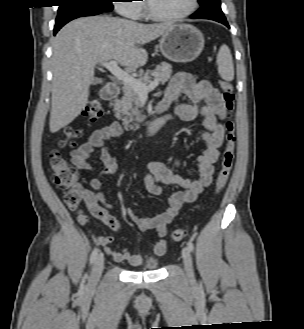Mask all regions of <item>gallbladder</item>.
<instances>
[{"instance_id":"obj_1","label":"gallbladder","mask_w":304,"mask_h":329,"mask_svg":"<svg viewBox=\"0 0 304 329\" xmlns=\"http://www.w3.org/2000/svg\"><path fill=\"white\" fill-rule=\"evenodd\" d=\"M98 82H99V79L94 78L93 81H92V84H96V83H98Z\"/></svg>"}]
</instances>
